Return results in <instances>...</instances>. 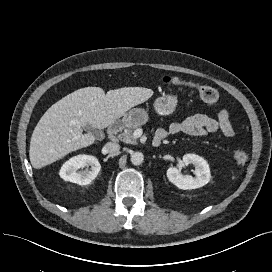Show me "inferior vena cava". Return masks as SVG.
Instances as JSON below:
<instances>
[{
	"label": "inferior vena cava",
	"mask_w": 272,
	"mask_h": 272,
	"mask_svg": "<svg viewBox=\"0 0 272 272\" xmlns=\"http://www.w3.org/2000/svg\"><path fill=\"white\" fill-rule=\"evenodd\" d=\"M104 149L111 154H117L120 150V145L114 142H108L105 144Z\"/></svg>",
	"instance_id": "obj_1"
}]
</instances>
